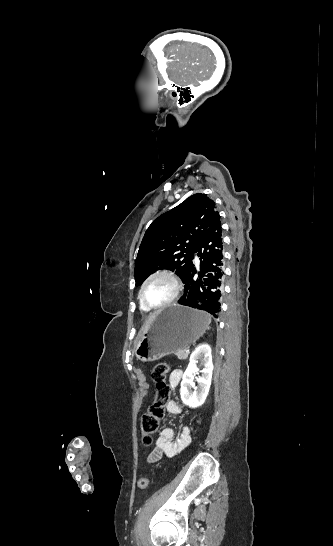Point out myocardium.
<instances>
[{
	"label": "myocardium",
	"mask_w": 333,
	"mask_h": 546,
	"mask_svg": "<svg viewBox=\"0 0 333 546\" xmlns=\"http://www.w3.org/2000/svg\"><path fill=\"white\" fill-rule=\"evenodd\" d=\"M161 276L168 278L173 283L174 293L171 296V298H169L164 303H162L160 305H151L146 301V299L144 297V290H145L146 286L148 285V283L151 280H153L156 277H161ZM182 288H183V285H182V282H181L180 278L172 270L160 269V270H157V271L151 273L144 280V282L142 283V285L140 287V290H139V299H140L141 303L145 307H147L149 309H161V308L167 307V306L171 305L173 302H175L176 299L179 297V295H180V293L182 291Z\"/></svg>",
	"instance_id": "1"
}]
</instances>
